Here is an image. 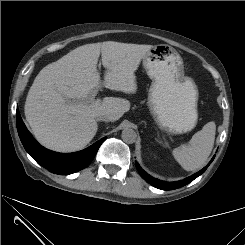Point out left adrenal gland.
<instances>
[{
  "label": "left adrenal gland",
  "mask_w": 245,
  "mask_h": 245,
  "mask_svg": "<svg viewBox=\"0 0 245 245\" xmlns=\"http://www.w3.org/2000/svg\"><path fill=\"white\" fill-rule=\"evenodd\" d=\"M157 141H158L159 143L163 144V145L166 146V147L168 146V144H167L166 142L163 143L162 140L157 139Z\"/></svg>",
  "instance_id": "a2214340"
}]
</instances>
